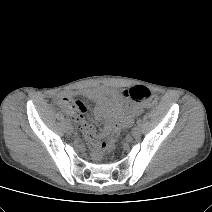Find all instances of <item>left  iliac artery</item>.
<instances>
[{"label":"left iliac artery","mask_w":212,"mask_h":212,"mask_svg":"<svg viewBox=\"0 0 212 212\" xmlns=\"http://www.w3.org/2000/svg\"><path fill=\"white\" fill-rule=\"evenodd\" d=\"M136 123H137L138 126H140L141 123H142V120L141 119H138Z\"/></svg>","instance_id":"obj_1"}]
</instances>
